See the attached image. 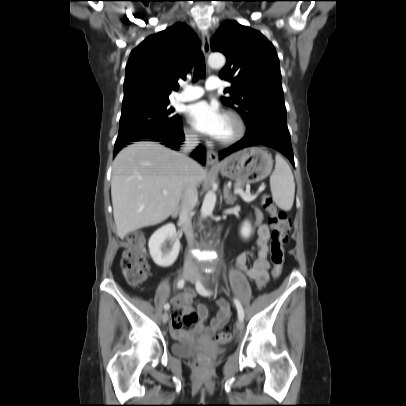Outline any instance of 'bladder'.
Returning <instances> with one entry per match:
<instances>
[{
    "label": "bladder",
    "mask_w": 406,
    "mask_h": 406,
    "mask_svg": "<svg viewBox=\"0 0 406 406\" xmlns=\"http://www.w3.org/2000/svg\"><path fill=\"white\" fill-rule=\"evenodd\" d=\"M195 350V345L189 342H176L172 346V353L179 357H190ZM225 348H220L218 351L223 352Z\"/></svg>",
    "instance_id": "bladder-1"
}]
</instances>
